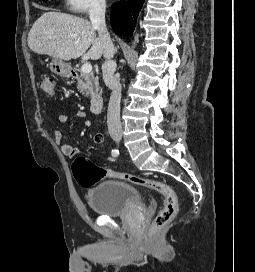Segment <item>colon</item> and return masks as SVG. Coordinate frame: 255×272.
Instances as JSON below:
<instances>
[{
	"label": "colon",
	"mask_w": 255,
	"mask_h": 272,
	"mask_svg": "<svg viewBox=\"0 0 255 272\" xmlns=\"http://www.w3.org/2000/svg\"><path fill=\"white\" fill-rule=\"evenodd\" d=\"M40 87L46 95L54 96L55 76L53 74L45 75L40 82ZM72 171L76 181L83 187H91L105 178H114L159 192L164 198V204L153 221V230L167 226L177 215L179 208L177 193L170 185L164 182L129 173L114 172L97 166L86 157H78L72 164Z\"/></svg>",
	"instance_id": "obj_1"
}]
</instances>
